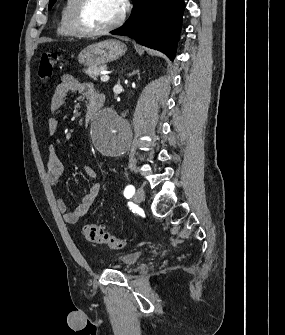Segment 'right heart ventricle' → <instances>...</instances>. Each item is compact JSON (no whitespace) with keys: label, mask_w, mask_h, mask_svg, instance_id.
I'll return each instance as SVG.
<instances>
[{"label":"right heart ventricle","mask_w":285,"mask_h":335,"mask_svg":"<svg viewBox=\"0 0 285 335\" xmlns=\"http://www.w3.org/2000/svg\"><path fill=\"white\" fill-rule=\"evenodd\" d=\"M76 1H65L61 13V21L58 27V34L66 39L79 38V34L75 31L72 24V12ZM87 60H96L95 58H88Z\"/></svg>","instance_id":"right-heart-ventricle-1"}]
</instances>
